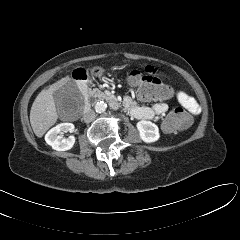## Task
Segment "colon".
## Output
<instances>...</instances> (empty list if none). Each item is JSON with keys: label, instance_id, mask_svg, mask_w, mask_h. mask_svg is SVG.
<instances>
[{"label": "colon", "instance_id": "1", "mask_svg": "<svg viewBox=\"0 0 240 240\" xmlns=\"http://www.w3.org/2000/svg\"><path fill=\"white\" fill-rule=\"evenodd\" d=\"M128 83L135 89L137 96L145 101H164L173 96V89L158 77L142 74L133 70L128 74ZM191 124V117L181 108L171 110L163 121L166 132H176L187 128Z\"/></svg>", "mask_w": 240, "mask_h": 240}]
</instances>
